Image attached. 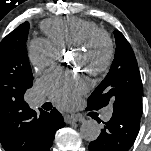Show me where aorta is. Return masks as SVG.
Masks as SVG:
<instances>
[{"mask_svg": "<svg viewBox=\"0 0 151 151\" xmlns=\"http://www.w3.org/2000/svg\"><path fill=\"white\" fill-rule=\"evenodd\" d=\"M100 135V126L95 120H87L80 126V136L82 139L91 142Z\"/></svg>", "mask_w": 151, "mask_h": 151, "instance_id": "obj_1", "label": "aorta"}]
</instances>
